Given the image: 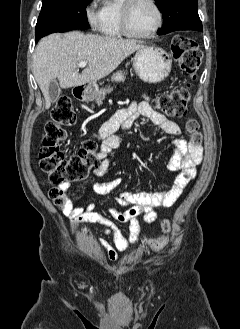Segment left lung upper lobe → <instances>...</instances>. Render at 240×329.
Here are the masks:
<instances>
[{
	"instance_id": "left-lung-upper-lobe-1",
	"label": "left lung upper lobe",
	"mask_w": 240,
	"mask_h": 329,
	"mask_svg": "<svg viewBox=\"0 0 240 329\" xmlns=\"http://www.w3.org/2000/svg\"><path fill=\"white\" fill-rule=\"evenodd\" d=\"M163 14V27L157 34L163 35L175 30L203 31L198 15V0H155Z\"/></svg>"
}]
</instances>
